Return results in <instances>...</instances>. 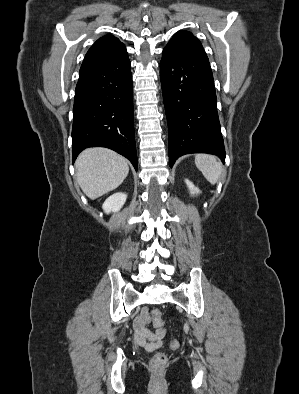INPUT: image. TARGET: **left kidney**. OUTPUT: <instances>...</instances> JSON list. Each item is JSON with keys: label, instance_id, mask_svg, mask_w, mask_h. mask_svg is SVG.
I'll list each match as a JSON object with an SVG mask.
<instances>
[{"label": "left kidney", "instance_id": "5707ae66", "mask_svg": "<svg viewBox=\"0 0 299 394\" xmlns=\"http://www.w3.org/2000/svg\"><path fill=\"white\" fill-rule=\"evenodd\" d=\"M185 183H186V185H187V187H188V189H189V191H190V194H192V195H197V194H199L201 191L197 188V187H195V185L191 182V181H189L188 179H185Z\"/></svg>", "mask_w": 299, "mask_h": 394}]
</instances>
